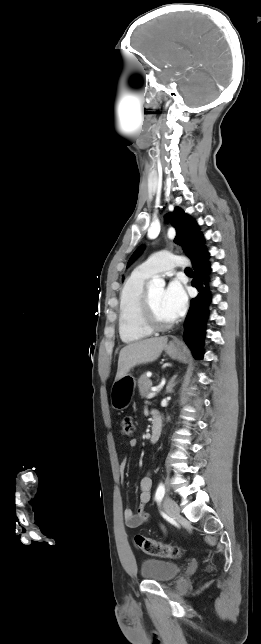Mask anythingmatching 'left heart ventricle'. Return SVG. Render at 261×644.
Listing matches in <instances>:
<instances>
[{"label": "left heart ventricle", "mask_w": 261, "mask_h": 644, "mask_svg": "<svg viewBox=\"0 0 261 644\" xmlns=\"http://www.w3.org/2000/svg\"><path fill=\"white\" fill-rule=\"evenodd\" d=\"M163 292H164V289L162 287H154L149 289V294H150L155 317L160 322H170L173 319L170 317L169 313L167 312L164 306Z\"/></svg>", "instance_id": "left-heart-ventricle-1"}]
</instances>
